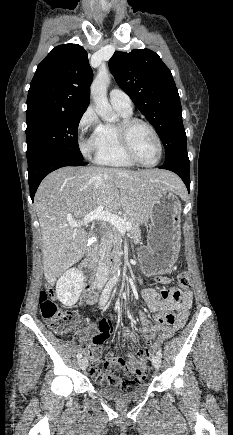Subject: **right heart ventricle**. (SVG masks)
I'll return each instance as SVG.
<instances>
[{"label":"right heart ventricle","instance_id":"obj_1","mask_svg":"<svg viewBox=\"0 0 233 435\" xmlns=\"http://www.w3.org/2000/svg\"><path fill=\"white\" fill-rule=\"evenodd\" d=\"M122 119L132 117V111L128 112L115 107ZM97 163L102 166L131 168L132 163L125 155L117 133V124L105 122L100 129V148L97 153Z\"/></svg>","mask_w":233,"mask_h":435}]
</instances>
